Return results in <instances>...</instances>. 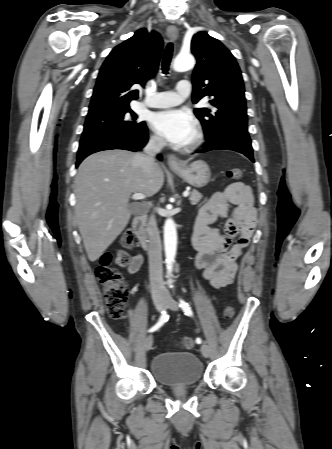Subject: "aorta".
Returning a JSON list of instances; mask_svg holds the SVG:
<instances>
[{"instance_id":"obj_1","label":"aorta","mask_w":332,"mask_h":449,"mask_svg":"<svg viewBox=\"0 0 332 449\" xmlns=\"http://www.w3.org/2000/svg\"><path fill=\"white\" fill-rule=\"evenodd\" d=\"M195 65V59L190 54H179L174 62L173 69L177 72L191 70ZM164 249L166 257L167 274L171 276L173 262L177 251V231L176 224L171 218H168L164 224Z\"/></svg>"}]
</instances>
